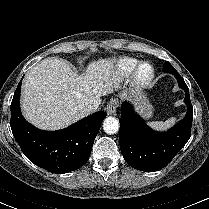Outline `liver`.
Returning <instances> with one entry per match:
<instances>
[{
    "mask_svg": "<svg viewBox=\"0 0 209 209\" xmlns=\"http://www.w3.org/2000/svg\"><path fill=\"white\" fill-rule=\"evenodd\" d=\"M115 62L111 58L93 61L78 75L64 59L42 60L23 80L20 103L24 117L45 130L63 129L84 118L85 106H99L102 96L119 88Z\"/></svg>",
    "mask_w": 209,
    "mask_h": 209,
    "instance_id": "1",
    "label": "liver"
}]
</instances>
